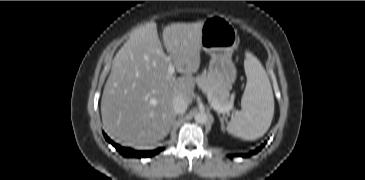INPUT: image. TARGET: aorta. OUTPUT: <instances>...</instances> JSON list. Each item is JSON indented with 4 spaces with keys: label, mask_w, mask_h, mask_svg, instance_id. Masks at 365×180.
<instances>
[{
    "label": "aorta",
    "mask_w": 365,
    "mask_h": 180,
    "mask_svg": "<svg viewBox=\"0 0 365 180\" xmlns=\"http://www.w3.org/2000/svg\"><path fill=\"white\" fill-rule=\"evenodd\" d=\"M194 119L199 124H205L208 121V116L205 112H198L195 114Z\"/></svg>",
    "instance_id": "aorta-1"
}]
</instances>
